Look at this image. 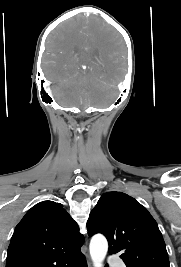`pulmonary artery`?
Instances as JSON below:
<instances>
[{
    "label": "pulmonary artery",
    "mask_w": 181,
    "mask_h": 267,
    "mask_svg": "<svg viewBox=\"0 0 181 267\" xmlns=\"http://www.w3.org/2000/svg\"><path fill=\"white\" fill-rule=\"evenodd\" d=\"M109 263L114 264L115 267H125L122 261L115 259V258H110Z\"/></svg>",
    "instance_id": "1"
}]
</instances>
